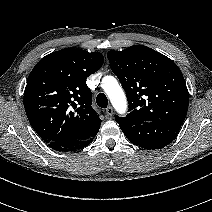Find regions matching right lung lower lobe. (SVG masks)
Segmentation results:
<instances>
[{
    "label": "right lung lower lobe",
    "instance_id": "1",
    "mask_svg": "<svg viewBox=\"0 0 212 212\" xmlns=\"http://www.w3.org/2000/svg\"><path fill=\"white\" fill-rule=\"evenodd\" d=\"M94 137L88 139L69 137L58 141H52L47 144L49 147L59 152L77 151L88 146L93 141Z\"/></svg>",
    "mask_w": 212,
    "mask_h": 212
}]
</instances>
